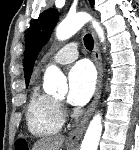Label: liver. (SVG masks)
<instances>
[{"label": "liver", "instance_id": "6515ba94", "mask_svg": "<svg viewBox=\"0 0 139 150\" xmlns=\"http://www.w3.org/2000/svg\"><path fill=\"white\" fill-rule=\"evenodd\" d=\"M64 140L62 135L43 137L34 144L32 150H60Z\"/></svg>", "mask_w": 139, "mask_h": 150}]
</instances>
